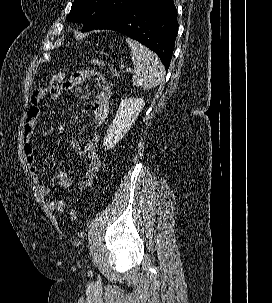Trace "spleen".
<instances>
[{
  "mask_svg": "<svg viewBox=\"0 0 272 303\" xmlns=\"http://www.w3.org/2000/svg\"><path fill=\"white\" fill-rule=\"evenodd\" d=\"M131 49V59L135 67L132 83L143 89L158 86L165 77V69L158 56L138 41L126 38Z\"/></svg>",
  "mask_w": 272,
  "mask_h": 303,
  "instance_id": "1",
  "label": "spleen"
}]
</instances>
